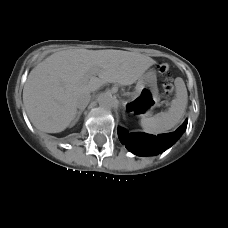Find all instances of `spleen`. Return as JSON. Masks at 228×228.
<instances>
[{
  "mask_svg": "<svg viewBox=\"0 0 228 228\" xmlns=\"http://www.w3.org/2000/svg\"><path fill=\"white\" fill-rule=\"evenodd\" d=\"M188 103V93L183 81L176 85V97L165 112L143 116L141 126L146 133H164L175 127L183 118Z\"/></svg>",
  "mask_w": 228,
  "mask_h": 228,
  "instance_id": "1",
  "label": "spleen"
}]
</instances>
